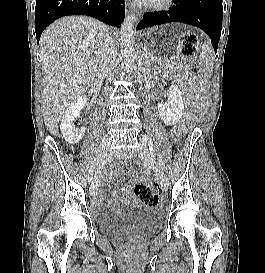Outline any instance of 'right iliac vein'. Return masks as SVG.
I'll return each mask as SVG.
<instances>
[{"label": "right iliac vein", "mask_w": 265, "mask_h": 273, "mask_svg": "<svg viewBox=\"0 0 265 273\" xmlns=\"http://www.w3.org/2000/svg\"><path fill=\"white\" fill-rule=\"evenodd\" d=\"M111 144V138L109 136H104L103 139L100 142V145L97 149V158L99 159L100 164L105 161L107 152L109 150ZM100 169L96 171V174L94 176V180L90 186V194L93 195L97 191L99 184H100Z\"/></svg>", "instance_id": "1"}]
</instances>
